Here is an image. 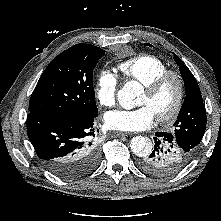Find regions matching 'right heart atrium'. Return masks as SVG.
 <instances>
[{
  "label": "right heart atrium",
  "mask_w": 221,
  "mask_h": 221,
  "mask_svg": "<svg viewBox=\"0 0 221 221\" xmlns=\"http://www.w3.org/2000/svg\"><path fill=\"white\" fill-rule=\"evenodd\" d=\"M117 90L118 80L116 76L108 70L100 71L94 87L98 103L103 107H112L116 101Z\"/></svg>",
  "instance_id": "right-heart-atrium-1"
}]
</instances>
